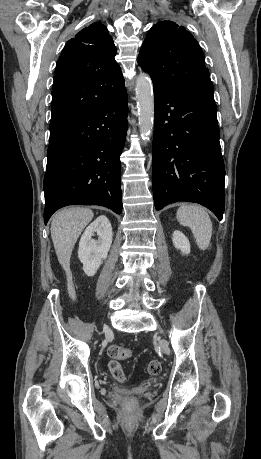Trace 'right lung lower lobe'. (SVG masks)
Listing matches in <instances>:
<instances>
[{
  "label": "right lung lower lobe",
  "instance_id": "obj_1",
  "mask_svg": "<svg viewBox=\"0 0 261 459\" xmlns=\"http://www.w3.org/2000/svg\"><path fill=\"white\" fill-rule=\"evenodd\" d=\"M127 114L124 88L50 137L44 177L45 224L67 205H100L122 212L119 158Z\"/></svg>",
  "mask_w": 261,
  "mask_h": 459
}]
</instances>
